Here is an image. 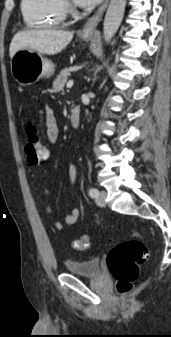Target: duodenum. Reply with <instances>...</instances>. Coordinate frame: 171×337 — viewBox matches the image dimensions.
<instances>
[{
	"instance_id": "obj_1",
	"label": "duodenum",
	"mask_w": 171,
	"mask_h": 337,
	"mask_svg": "<svg viewBox=\"0 0 171 337\" xmlns=\"http://www.w3.org/2000/svg\"><path fill=\"white\" fill-rule=\"evenodd\" d=\"M71 125L76 128L80 124V108L78 106H74L71 110L70 115Z\"/></svg>"
}]
</instances>
